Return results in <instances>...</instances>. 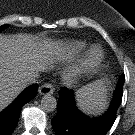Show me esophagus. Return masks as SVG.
Wrapping results in <instances>:
<instances>
[{"mask_svg":"<svg viewBox=\"0 0 135 135\" xmlns=\"http://www.w3.org/2000/svg\"><path fill=\"white\" fill-rule=\"evenodd\" d=\"M54 90H55V89H54V87H53L52 84L46 83V84L42 85V86L39 88L38 92H39L41 95H51V94H53Z\"/></svg>","mask_w":135,"mask_h":135,"instance_id":"obj_1","label":"esophagus"}]
</instances>
